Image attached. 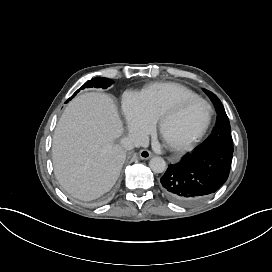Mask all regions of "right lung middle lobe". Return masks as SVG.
Segmentation results:
<instances>
[{"instance_id": "1", "label": "right lung middle lobe", "mask_w": 272, "mask_h": 272, "mask_svg": "<svg viewBox=\"0 0 272 272\" xmlns=\"http://www.w3.org/2000/svg\"><path fill=\"white\" fill-rule=\"evenodd\" d=\"M112 83H113V81L108 78H104V77L93 78V79L89 80L88 82H86L67 101L71 100L77 94V92H79L81 89L89 88V87H96V88L101 87V88L105 89V88L109 87Z\"/></svg>"}]
</instances>
